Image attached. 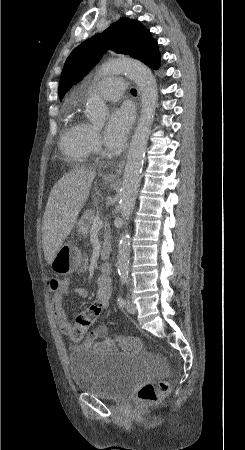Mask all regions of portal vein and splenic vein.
I'll return each instance as SVG.
<instances>
[{"mask_svg": "<svg viewBox=\"0 0 245 450\" xmlns=\"http://www.w3.org/2000/svg\"><path fill=\"white\" fill-rule=\"evenodd\" d=\"M103 226V222L99 217H95L92 222L91 231L100 230Z\"/></svg>", "mask_w": 245, "mask_h": 450, "instance_id": "portal-vein-and-splenic-vein-1", "label": "portal vein and splenic vein"}]
</instances>
